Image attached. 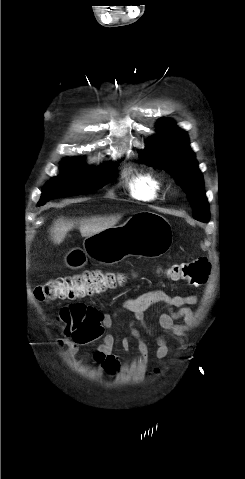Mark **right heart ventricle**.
I'll return each mask as SVG.
<instances>
[{
	"mask_svg": "<svg viewBox=\"0 0 245 479\" xmlns=\"http://www.w3.org/2000/svg\"><path fill=\"white\" fill-rule=\"evenodd\" d=\"M128 187L133 197L142 201H153L162 192L163 181L156 174L139 173L130 180Z\"/></svg>",
	"mask_w": 245,
	"mask_h": 479,
	"instance_id": "1",
	"label": "right heart ventricle"
}]
</instances>
